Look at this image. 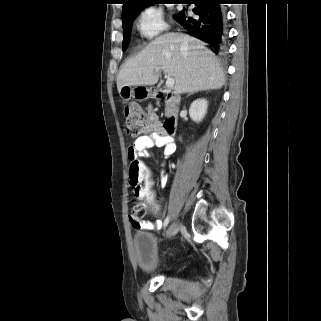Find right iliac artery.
I'll return each instance as SVG.
<instances>
[{
  "label": "right iliac artery",
  "instance_id": "right-iliac-artery-1",
  "mask_svg": "<svg viewBox=\"0 0 321 321\" xmlns=\"http://www.w3.org/2000/svg\"><path fill=\"white\" fill-rule=\"evenodd\" d=\"M169 221H170V217L167 216L166 219L164 220V227L168 225Z\"/></svg>",
  "mask_w": 321,
  "mask_h": 321
}]
</instances>
